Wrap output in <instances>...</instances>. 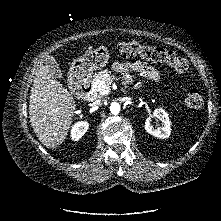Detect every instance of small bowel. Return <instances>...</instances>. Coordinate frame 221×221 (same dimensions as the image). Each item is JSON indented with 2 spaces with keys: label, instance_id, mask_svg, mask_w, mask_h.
Returning <instances> with one entry per match:
<instances>
[{
  "label": "small bowel",
  "instance_id": "1",
  "mask_svg": "<svg viewBox=\"0 0 221 221\" xmlns=\"http://www.w3.org/2000/svg\"><path fill=\"white\" fill-rule=\"evenodd\" d=\"M113 68L117 72L124 74V80L126 82L131 80V77L128 74L130 71L138 72L140 75L152 81H158L160 78L159 72L153 66L141 61L133 63L116 62L114 63Z\"/></svg>",
  "mask_w": 221,
  "mask_h": 221
}]
</instances>
